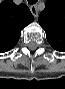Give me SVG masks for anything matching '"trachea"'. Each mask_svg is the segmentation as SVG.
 Instances as JSON below:
<instances>
[{"label": "trachea", "mask_w": 65, "mask_h": 89, "mask_svg": "<svg viewBox=\"0 0 65 89\" xmlns=\"http://www.w3.org/2000/svg\"><path fill=\"white\" fill-rule=\"evenodd\" d=\"M37 0H28V4L30 5H34L36 4Z\"/></svg>", "instance_id": "trachea-1"}]
</instances>
